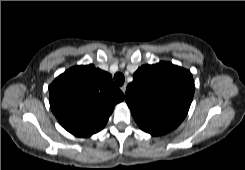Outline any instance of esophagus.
I'll use <instances>...</instances> for the list:
<instances>
[{
	"instance_id": "esophagus-1",
	"label": "esophagus",
	"mask_w": 245,
	"mask_h": 170,
	"mask_svg": "<svg viewBox=\"0 0 245 170\" xmlns=\"http://www.w3.org/2000/svg\"><path fill=\"white\" fill-rule=\"evenodd\" d=\"M121 91H122L123 94L125 95V92H126V85H123V86L121 87Z\"/></svg>"
}]
</instances>
